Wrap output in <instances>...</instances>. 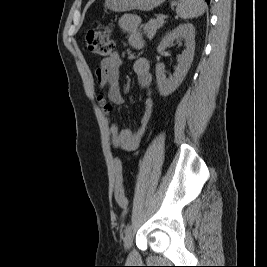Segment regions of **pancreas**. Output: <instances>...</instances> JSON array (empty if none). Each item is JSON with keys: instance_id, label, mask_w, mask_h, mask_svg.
<instances>
[{"instance_id": "pancreas-1", "label": "pancreas", "mask_w": 267, "mask_h": 267, "mask_svg": "<svg viewBox=\"0 0 267 267\" xmlns=\"http://www.w3.org/2000/svg\"><path fill=\"white\" fill-rule=\"evenodd\" d=\"M164 23V19H160L159 17H157V19H151L148 23H146L143 29L144 33L147 35V38L152 39L157 30L160 29Z\"/></svg>"}]
</instances>
